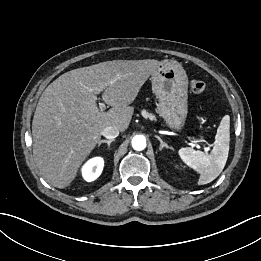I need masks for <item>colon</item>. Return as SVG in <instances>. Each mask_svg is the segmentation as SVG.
Instances as JSON below:
<instances>
[{"mask_svg":"<svg viewBox=\"0 0 261 261\" xmlns=\"http://www.w3.org/2000/svg\"><path fill=\"white\" fill-rule=\"evenodd\" d=\"M191 91L195 94H202L206 90V83L200 79H193L190 82Z\"/></svg>","mask_w":261,"mask_h":261,"instance_id":"colon-1","label":"colon"}]
</instances>
